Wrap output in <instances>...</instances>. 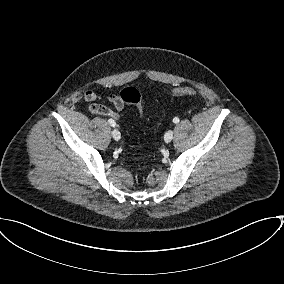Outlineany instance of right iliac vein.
Returning <instances> with one entry per match:
<instances>
[{
	"label": "right iliac vein",
	"instance_id": "1",
	"mask_svg": "<svg viewBox=\"0 0 284 284\" xmlns=\"http://www.w3.org/2000/svg\"><path fill=\"white\" fill-rule=\"evenodd\" d=\"M112 137H113L116 141H118V140H120V138H121V134H120V132H119L117 129H113V130H112Z\"/></svg>",
	"mask_w": 284,
	"mask_h": 284
}]
</instances>
